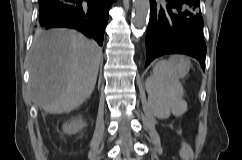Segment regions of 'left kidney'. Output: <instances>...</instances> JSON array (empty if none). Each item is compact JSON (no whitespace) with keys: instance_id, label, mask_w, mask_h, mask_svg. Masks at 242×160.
Masks as SVG:
<instances>
[{"instance_id":"left-kidney-1","label":"left kidney","mask_w":242,"mask_h":160,"mask_svg":"<svg viewBox=\"0 0 242 160\" xmlns=\"http://www.w3.org/2000/svg\"><path fill=\"white\" fill-rule=\"evenodd\" d=\"M177 105L179 107H176L174 109V112L175 113H183L186 108H187V104L185 101H183L181 98L178 99V102H177ZM152 111H153V114L159 118V119H167L169 116H170V109L169 108H161L160 105L158 104H155L153 105L152 107Z\"/></svg>"}]
</instances>
